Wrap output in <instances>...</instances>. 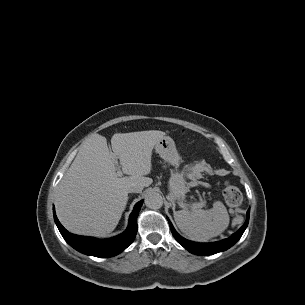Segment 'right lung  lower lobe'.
I'll return each mask as SVG.
<instances>
[{"label":"right lung lower lobe","instance_id":"98d812e1","mask_svg":"<svg viewBox=\"0 0 305 305\" xmlns=\"http://www.w3.org/2000/svg\"><path fill=\"white\" fill-rule=\"evenodd\" d=\"M143 200L136 203L125 232L109 239H96L69 233L59 222L53 208L55 223L65 241L77 251L95 257H112L124 251L135 239L137 233V216Z\"/></svg>","mask_w":305,"mask_h":305}]
</instances>
